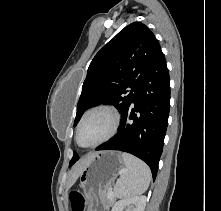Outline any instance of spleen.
Returning a JSON list of instances; mask_svg holds the SVG:
<instances>
[{"label": "spleen", "instance_id": "3e777b00", "mask_svg": "<svg viewBox=\"0 0 221 211\" xmlns=\"http://www.w3.org/2000/svg\"><path fill=\"white\" fill-rule=\"evenodd\" d=\"M126 170L117 180L114 187L117 198H132L143 194L149 187L151 171L149 167L138 158L122 153Z\"/></svg>", "mask_w": 221, "mask_h": 211}]
</instances>
